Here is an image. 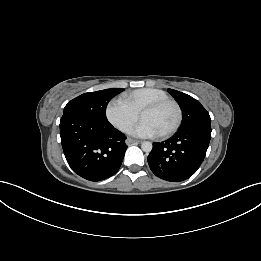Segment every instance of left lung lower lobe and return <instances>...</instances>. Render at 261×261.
<instances>
[{
  "label": "left lung lower lobe",
  "mask_w": 261,
  "mask_h": 261,
  "mask_svg": "<svg viewBox=\"0 0 261 261\" xmlns=\"http://www.w3.org/2000/svg\"><path fill=\"white\" fill-rule=\"evenodd\" d=\"M211 138V125L198 124L180 129L168 140L153 143L148 156L152 172L159 178L179 182L200 167Z\"/></svg>",
  "instance_id": "0a47b994"
}]
</instances>
